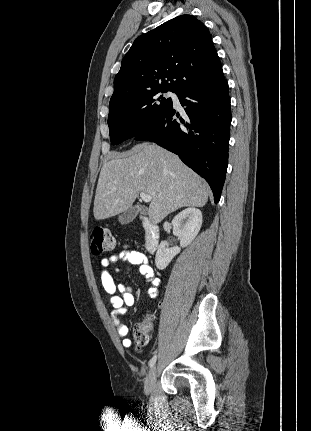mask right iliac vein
Instances as JSON below:
<instances>
[{
  "instance_id": "63e3f726",
  "label": "right iliac vein",
  "mask_w": 311,
  "mask_h": 431,
  "mask_svg": "<svg viewBox=\"0 0 311 431\" xmlns=\"http://www.w3.org/2000/svg\"><path fill=\"white\" fill-rule=\"evenodd\" d=\"M157 377V367L153 366L149 371V374L145 381L144 392L146 395H149L154 387L155 381Z\"/></svg>"
}]
</instances>
